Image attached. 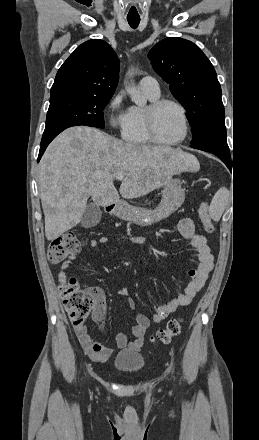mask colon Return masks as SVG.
<instances>
[{
    "label": "colon",
    "mask_w": 259,
    "mask_h": 440,
    "mask_svg": "<svg viewBox=\"0 0 259 440\" xmlns=\"http://www.w3.org/2000/svg\"><path fill=\"white\" fill-rule=\"evenodd\" d=\"M199 217L208 233L213 231V223L209 215V205L202 202L198 208ZM83 247L82 240L74 233L68 232L52 241L47 257L51 264H58L67 258L78 254ZM63 305L74 326L84 325L91 309L95 305V298L91 289H81L74 278L60 286ZM181 330V320L172 319L167 326L157 331L154 341L163 344L169 343Z\"/></svg>",
    "instance_id": "1"
}]
</instances>
